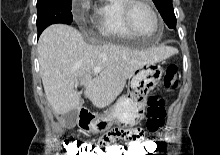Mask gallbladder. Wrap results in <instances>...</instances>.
Returning <instances> with one entry per match:
<instances>
[{
	"instance_id": "bac80fb5",
	"label": "gallbladder",
	"mask_w": 220,
	"mask_h": 155,
	"mask_svg": "<svg viewBox=\"0 0 220 155\" xmlns=\"http://www.w3.org/2000/svg\"><path fill=\"white\" fill-rule=\"evenodd\" d=\"M78 118V108H75L64 115V120L68 128L75 127Z\"/></svg>"
}]
</instances>
